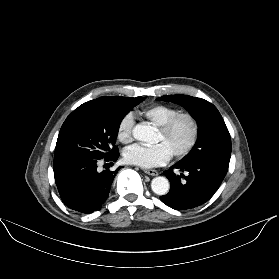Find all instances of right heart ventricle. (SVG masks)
<instances>
[{"label":"right heart ventricle","mask_w":279,"mask_h":279,"mask_svg":"<svg viewBox=\"0 0 279 279\" xmlns=\"http://www.w3.org/2000/svg\"><path fill=\"white\" fill-rule=\"evenodd\" d=\"M177 108L164 104H155L143 108L140 114L153 125L160 127L171 117L179 113Z\"/></svg>","instance_id":"1"}]
</instances>
